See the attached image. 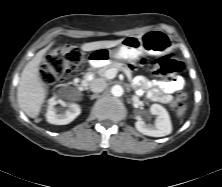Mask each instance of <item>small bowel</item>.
I'll list each match as a JSON object with an SVG mask.
<instances>
[{
  "label": "small bowel",
  "instance_id": "c3829d8e",
  "mask_svg": "<svg viewBox=\"0 0 222 187\" xmlns=\"http://www.w3.org/2000/svg\"><path fill=\"white\" fill-rule=\"evenodd\" d=\"M136 85L147 91V97L153 101L168 104L172 101L173 93L181 90L184 86L183 80L174 77L166 81H149L144 77H140Z\"/></svg>",
  "mask_w": 222,
  "mask_h": 187
}]
</instances>
